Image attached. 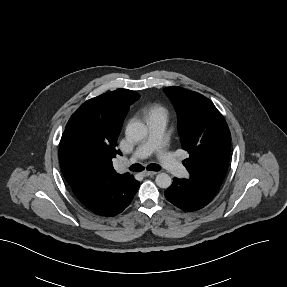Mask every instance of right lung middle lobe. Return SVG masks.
Instances as JSON below:
<instances>
[{
  "instance_id": "1",
  "label": "right lung middle lobe",
  "mask_w": 287,
  "mask_h": 287,
  "mask_svg": "<svg viewBox=\"0 0 287 287\" xmlns=\"http://www.w3.org/2000/svg\"><path fill=\"white\" fill-rule=\"evenodd\" d=\"M96 159V148L84 138L77 119L70 118L59 145L61 169L85 171Z\"/></svg>"
}]
</instances>
